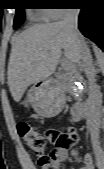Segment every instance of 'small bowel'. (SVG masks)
Returning a JSON list of instances; mask_svg holds the SVG:
<instances>
[{
    "label": "small bowel",
    "instance_id": "obj_1",
    "mask_svg": "<svg viewBox=\"0 0 104 169\" xmlns=\"http://www.w3.org/2000/svg\"><path fill=\"white\" fill-rule=\"evenodd\" d=\"M68 158V147L56 146L51 154V164L49 169H63ZM44 169V168H43ZM80 169H94L93 159L90 154L83 156V165Z\"/></svg>",
    "mask_w": 104,
    "mask_h": 169
}]
</instances>
